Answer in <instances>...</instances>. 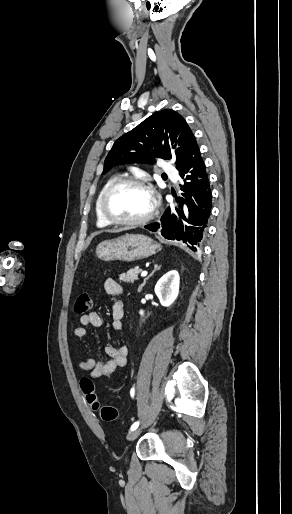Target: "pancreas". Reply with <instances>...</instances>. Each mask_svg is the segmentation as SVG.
Instances as JSON below:
<instances>
[{
  "instance_id": "cf45deb5",
  "label": "pancreas",
  "mask_w": 292,
  "mask_h": 514,
  "mask_svg": "<svg viewBox=\"0 0 292 514\" xmlns=\"http://www.w3.org/2000/svg\"><path fill=\"white\" fill-rule=\"evenodd\" d=\"M139 272V268H132V270H129V272H126V274H120L119 280H122V282H130V284H134V280H139Z\"/></svg>"
}]
</instances>
